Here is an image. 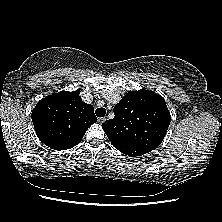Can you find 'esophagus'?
I'll use <instances>...</instances> for the list:
<instances>
[{
	"label": "esophagus",
	"mask_w": 222,
	"mask_h": 222,
	"mask_svg": "<svg viewBox=\"0 0 222 222\" xmlns=\"http://www.w3.org/2000/svg\"><path fill=\"white\" fill-rule=\"evenodd\" d=\"M106 120V117H100L98 118L99 123H103Z\"/></svg>",
	"instance_id": "obj_1"
}]
</instances>
